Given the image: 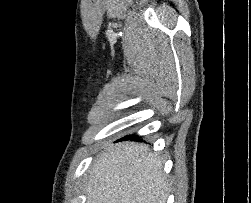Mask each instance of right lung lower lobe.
Listing matches in <instances>:
<instances>
[{
    "label": "right lung lower lobe",
    "instance_id": "98d812e1",
    "mask_svg": "<svg viewBox=\"0 0 251 203\" xmlns=\"http://www.w3.org/2000/svg\"><path fill=\"white\" fill-rule=\"evenodd\" d=\"M124 139H134V140H137L138 137L133 135V136H126L125 138H122L121 140H124Z\"/></svg>",
    "mask_w": 251,
    "mask_h": 203
}]
</instances>
